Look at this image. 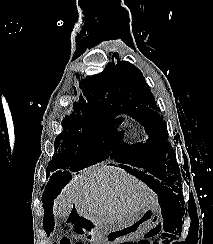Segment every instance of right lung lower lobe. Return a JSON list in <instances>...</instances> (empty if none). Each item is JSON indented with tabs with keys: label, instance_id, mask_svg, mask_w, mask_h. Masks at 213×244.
<instances>
[{
	"label": "right lung lower lobe",
	"instance_id": "right-lung-lower-lobe-1",
	"mask_svg": "<svg viewBox=\"0 0 213 244\" xmlns=\"http://www.w3.org/2000/svg\"><path fill=\"white\" fill-rule=\"evenodd\" d=\"M60 172H61L60 170L53 172L50 181L46 186V190L42 200L44 204V208H45V199H46L45 197L47 196V193L48 192L52 193L55 188L58 189L60 185H62L66 180V177H64L62 174L60 175Z\"/></svg>",
	"mask_w": 213,
	"mask_h": 244
}]
</instances>
